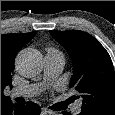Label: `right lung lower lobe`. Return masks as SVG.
<instances>
[{
	"label": "right lung lower lobe",
	"instance_id": "obj_1",
	"mask_svg": "<svg viewBox=\"0 0 115 115\" xmlns=\"http://www.w3.org/2000/svg\"><path fill=\"white\" fill-rule=\"evenodd\" d=\"M40 112V106L33 102H27L26 105H14L10 101L1 106V115H37Z\"/></svg>",
	"mask_w": 115,
	"mask_h": 115
}]
</instances>
